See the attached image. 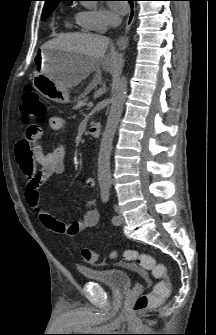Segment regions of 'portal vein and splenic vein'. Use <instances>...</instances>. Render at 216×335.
I'll return each instance as SVG.
<instances>
[{
    "label": "portal vein and splenic vein",
    "instance_id": "18ae733b",
    "mask_svg": "<svg viewBox=\"0 0 216 335\" xmlns=\"http://www.w3.org/2000/svg\"><path fill=\"white\" fill-rule=\"evenodd\" d=\"M93 106V103L92 102H89L88 103V107H92Z\"/></svg>",
    "mask_w": 216,
    "mask_h": 335
}]
</instances>
